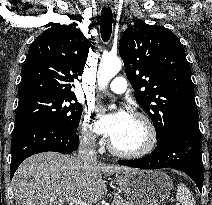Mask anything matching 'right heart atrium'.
I'll return each instance as SVG.
<instances>
[{
  "label": "right heart atrium",
  "mask_w": 212,
  "mask_h": 205,
  "mask_svg": "<svg viewBox=\"0 0 212 205\" xmlns=\"http://www.w3.org/2000/svg\"><path fill=\"white\" fill-rule=\"evenodd\" d=\"M81 140L90 146H95L99 143L96 134L95 124L90 113H87L81 122Z\"/></svg>",
  "instance_id": "right-heart-atrium-1"
}]
</instances>
